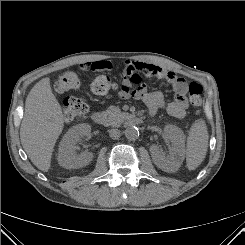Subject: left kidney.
Instances as JSON below:
<instances>
[{
    "mask_svg": "<svg viewBox=\"0 0 245 245\" xmlns=\"http://www.w3.org/2000/svg\"><path fill=\"white\" fill-rule=\"evenodd\" d=\"M164 134L170 140L169 154L166 155L157 145L150 147L152 159L156 166L164 171H175L184 160L185 135L183 131L174 125H166Z\"/></svg>",
    "mask_w": 245,
    "mask_h": 245,
    "instance_id": "1",
    "label": "left kidney"
}]
</instances>
